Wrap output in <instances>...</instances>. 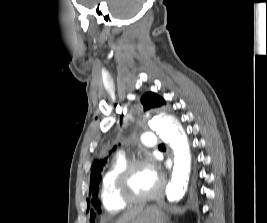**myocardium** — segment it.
<instances>
[{
    "instance_id": "1",
    "label": "myocardium",
    "mask_w": 267,
    "mask_h": 223,
    "mask_svg": "<svg viewBox=\"0 0 267 223\" xmlns=\"http://www.w3.org/2000/svg\"><path fill=\"white\" fill-rule=\"evenodd\" d=\"M147 167L155 172L154 161L149 156L140 157L128 162L122 170L117 175L114 188L115 193L118 198L124 202L125 204H133V203H145L156 199L163 191L164 182L161 178H159V184L157 188L151 193L141 195V196H133L130 195L127 191V184L131 174L138 167Z\"/></svg>"
}]
</instances>
